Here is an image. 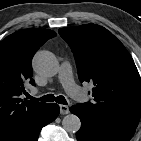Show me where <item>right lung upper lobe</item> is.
<instances>
[{"instance_id":"1","label":"right lung upper lobe","mask_w":141,"mask_h":141,"mask_svg":"<svg viewBox=\"0 0 141 141\" xmlns=\"http://www.w3.org/2000/svg\"><path fill=\"white\" fill-rule=\"evenodd\" d=\"M56 33L48 29L30 28L15 32L0 42V141L18 132L47 103L26 100L19 95L24 83L32 79V57L39 47Z\"/></svg>"}]
</instances>
